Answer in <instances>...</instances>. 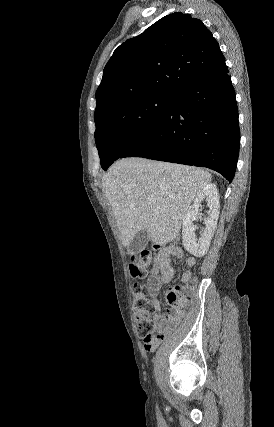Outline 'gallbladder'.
Returning <instances> with one entry per match:
<instances>
[{
    "label": "gallbladder",
    "instance_id": "gallbladder-1",
    "mask_svg": "<svg viewBox=\"0 0 274 427\" xmlns=\"http://www.w3.org/2000/svg\"><path fill=\"white\" fill-rule=\"evenodd\" d=\"M148 243V231L147 229H140L136 235H134L131 243L127 245V253L129 255H135V253H140Z\"/></svg>",
    "mask_w": 274,
    "mask_h": 427
}]
</instances>
